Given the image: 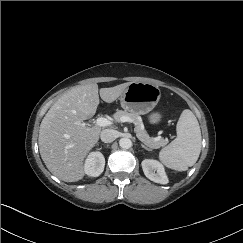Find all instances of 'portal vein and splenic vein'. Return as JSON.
Wrapping results in <instances>:
<instances>
[{"label":"portal vein and splenic vein","instance_id":"portal-vein-and-splenic-vein-1","mask_svg":"<svg viewBox=\"0 0 243 243\" xmlns=\"http://www.w3.org/2000/svg\"><path fill=\"white\" fill-rule=\"evenodd\" d=\"M121 122H129V123H135L131 118L129 117H122ZM78 126H86V123L84 122H76L75 123ZM95 124L100 127H107L112 124L111 120L104 118V117H99L96 119Z\"/></svg>","mask_w":243,"mask_h":243}]
</instances>
